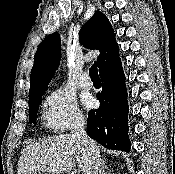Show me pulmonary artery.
Returning a JSON list of instances; mask_svg holds the SVG:
<instances>
[{"mask_svg": "<svg viewBox=\"0 0 175 174\" xmlns=\"http://www.w3.org/2000/svg\"><path fill=\"white\" fill-rule=\"evenodd\" d=\"M79 84L85 89H90L92 87V81L90 80L89 74L87 72H84L81 75Z\"/></svg>", "mask_w": 175, "mask_h": 174, "instance_id": "1", "label": "pulmonary artery"}]
</instances>
